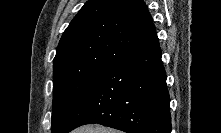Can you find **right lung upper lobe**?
<instances>
[{
  "label": "right lung upper lobe",
  "mask_w": 221,
  "mask_h": 133,
  "mask_svg": "<svg viewBox=\"0 0 221 133\" xmlns=\"http://www.w3.org/2000/svg\"><path fill=\"white\" fill-rule=\"evenodd\" d=\"M159 45L143 0H89L64 31L53 73L111 65Z\"/></svg>",
  "instance_id": "obj_1"
}]
</instances>
